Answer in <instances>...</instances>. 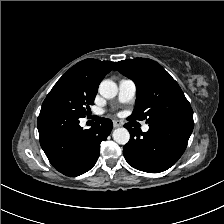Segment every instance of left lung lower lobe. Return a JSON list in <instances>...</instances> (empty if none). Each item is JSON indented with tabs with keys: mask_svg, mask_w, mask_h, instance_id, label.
<instances>
[{
	"mask_svg": "<svg viewBox=\"0 0 224 224\" xmlns=\"http://www.w3.org/2000/svg\"><path fill=\"white\" fill-rule=\"evenodd\" d=\"M130 141L124 146L127 163L135 169L159 173L169 169L181 157L193 131L192 122H161L149 124L142 132L129 125Z\"/></svg>",
	"mask_w": 224,
	"mask_h": 224,
	"instance_id": "left-lung-lower-lobe-1",
	"label": "left lung lower lobe"
}]
</instances>
